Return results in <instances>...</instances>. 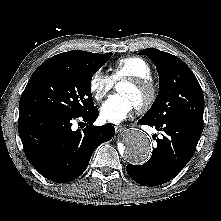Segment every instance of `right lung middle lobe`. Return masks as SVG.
Instances as JSON below:
<instances>
[{
    "mask_svg": "<svg viewBox=\"0 0 221 221\" xmlns=\"http://www.w3.org/2000/svg\"><path fill=\"white\" fill-rule=\"evenodd\" d=\"M112 53L98 54L88 65L43 62L22 93L19 108H39L79 117L95 109L91 79Z\"/></svg>",
    "mask_w": 221,
    "mask_h": 221,
    "instance_id": "dd1d6c3e",
    "label": "right lung middle lobe"
}]
</instances>
